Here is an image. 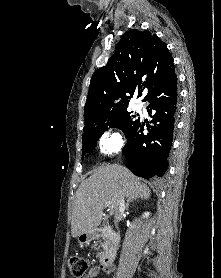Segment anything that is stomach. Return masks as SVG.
<instances>
[{
	"label": "stomach",
	"instance_id": "obj_1",
	"mask_svg": "<svg viewBox=\"0 0 221 278\" xmlns=\"http://www.w3.org/2000/svg\"><path fill=\"white\" fill-rule=\"evenodd\" d=\"M81 237H82V235H80V236L78 237V240H79L80 243H84L85 240L81 239Z\"/></svg>",
	"mask_w": 221,
	"mask_h": 278
}]
</instances>
